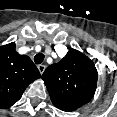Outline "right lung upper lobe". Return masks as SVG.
Wrapping results in <instances>:
<instances>
[{
    "label": "right lung upper lobe",
    "instance_id": "obj_1",
    "mask_svg": "<svg viewBox=\"0 0 117 117\" xmlns=\"http://www.w3.org/2000/svg\"><path fill=\"white\" fill-rule=\"evenodd\" d=\"M40 77L31 59L15 50V43L0 47V108L16 103L26 87Z\"/></svg>",
    "mask_w": 117,
    "mask_h": 117
}]
</instances>
